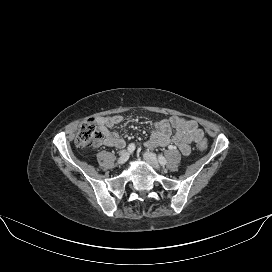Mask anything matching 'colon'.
<instances>
[{
	"label": "colon",
	"instance_id": "colon-1",
	"mask_svg": "<svg viewBox=\"0 0 272 272\" xmlns=\"http://www.w3.org/2000/svg\"><path fill=\"white\" fill-rule=\"evenodd\" d=\"M101 138V133L98 130L96 121L94 119L85 120L79 128L75 142L81 148L91 147L98 139ZM208 147L207 141L202 140L198 144L200 150H206Z\"/></svg>",
	"mask_w": 272,
	"mask_h": 272
}]
</instances>
